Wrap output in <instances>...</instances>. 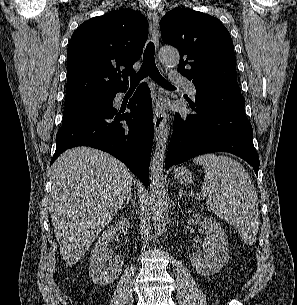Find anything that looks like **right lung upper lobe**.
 <instances>
[{
	"label": "right lung upper lobe",
	"instance_id": "1",
	"mask_svg": "<svg viewBox=\"0 0 297 305\" xmlns=\"http://www.w3.org/2000/svg\"><path fill=\"white\" fill-rule=\"evenodd\" d=\"M147 37V19L133 9L112 11L81 24L67 49L65 102L127 88Z\"/></svg>",
	"mask_w": 297,
	"mask_h": 305
}]
</instances>
